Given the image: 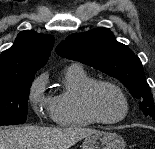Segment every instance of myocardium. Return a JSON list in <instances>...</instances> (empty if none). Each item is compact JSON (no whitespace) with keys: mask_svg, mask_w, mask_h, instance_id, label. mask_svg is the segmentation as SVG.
Wrapping results in <instances>:
<instances>
[{"mask_svg":"<svg viewBox=\"0 0 155 149\" xmlns=\"http://www.w3.org/2000/svg\"><path fill=\"white\" fill-rule=\"evenodd\" d=\"M104 85L114 88L119 93L123 101V105H124L123 113L121 116L115 119H110V120L104 119L99 115L94 105V94L100 86H104ZM83 107L86 113L94 122L105 124V125H113L123 121L128 116L129 108H130L128 97L124 92V90L122 89V87L111 80H95L92 83H90L86 87L83 93Z\"/></svg>","mask_w":155,"mask_h":149,"instance_id":"myocardium-1","label":"myocardium"}]
</instances>
